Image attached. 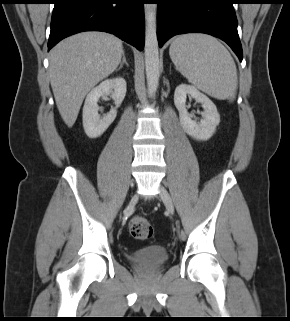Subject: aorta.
Returning a JSON list of instances; mask_svg holds the SVG:
<instances>
[{
	"label": "aorta",
	"instance_id": "1",
	"mask_svg": "<svg viewBox=\"0 0 290 321\" xmlns=\"http://www.w3.org/2000/svg\"><path fill=\"white\" fill-rule=\"evenodd\" d=\"M145 69L147 87L154 96L159 83V51L157 39V4H145Z\"/></svg>",
	"mask_w": 290,
	"mask_h": 321
}]
</instances>
